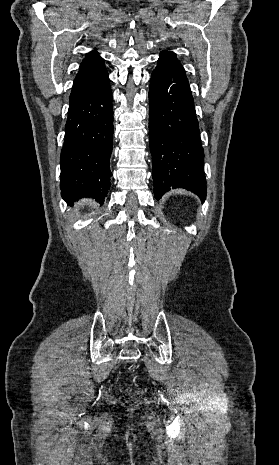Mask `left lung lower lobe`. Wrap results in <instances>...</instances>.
Listing matches in <instances>:
<instances>
[{
    "mask_svg": "<svg viewBox=\"0 0 279 465\" xmlns=\"http://www.w3.org/2000/svg\"><path fill=\"white\" fill-rule=\"evenodd\" d=\"M149 137L154 195L185 188L206 198L204 152L194 101L183 66L161 52L149 88Z\"/></svg>",
    "mask_w": 279,
    "mask_h": 465,
    "instance_id": "obj_1",
    "label": "left lung lower lobe"
}]
</instances>
